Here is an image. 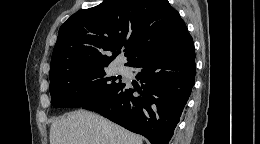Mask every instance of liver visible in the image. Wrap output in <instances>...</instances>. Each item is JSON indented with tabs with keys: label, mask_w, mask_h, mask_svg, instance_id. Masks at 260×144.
<instances>
[{
	"label": "liver",
	"mask_w": 260,
	"mask_h": 144,
	"mask_svg": "<svg viewBox=\"0 0 260 144\" xmlns=\"http://www.w3.org/2000/svg\"><path fill=\"white\" fill-rule=\"evenodd\" d=\"M50 144H143L142 138L94 113L78 110L54 121Z\"/></svg>",
	"instance_id": "liver-1"
}]
</instances>
